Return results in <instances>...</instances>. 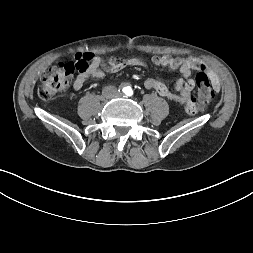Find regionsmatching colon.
Returning <instances> with one entry per match:
<instances>
[{"instance_id": "colon-1", "label": "colon", "mask_w": 253, "mask_h": 253, "mask_svg": "<svg viewBox=\"0 0 253 253\" xmlns=\"http://www.w3.org/2000/svg\"><path fill=\"white\" fill-rule=\"evenodd\" d=\"M92 57V54L84 53L76 57L75 61L60 62L48 68L41 77L38 96L43 100L53 98L68 87L75 74H83L88 70ZM195 84L199 90L198 99L203 107L208 104L212 92V84L203 69L196 75Z\"/></svg>"}]
</instances>
